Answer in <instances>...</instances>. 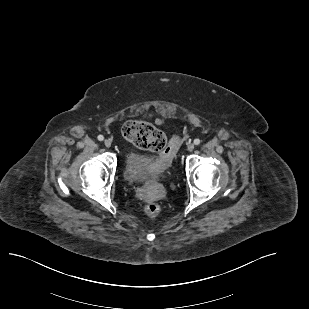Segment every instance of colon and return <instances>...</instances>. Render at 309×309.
<instances>
[{
    "label": "colon",
    "mask_w": 309,
    "mask_h": 309,
    "mask_svg": "<svg viewBox=\"0 0 309 309\" xmlns=\"http://www.w3.org/2000/svg\"><path fill=\"white\" fill-rule=\"evenodd\" d=\"M123 136L136 147L160 152L163 161H168L175 151L179 142L175 139L169 145L167 144L164 134L154 128L151 124L139 120H131L125 123L122 129ZM144 210L150 217H155L160 213V206L155 202H149L145 205Z\"/></svg>",
    "instance_id": "colon-1"
}]
</instances>
